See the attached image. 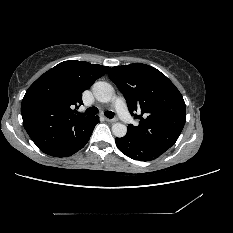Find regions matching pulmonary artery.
I'll return each instance as SVG.
<instances>
[{
  "instance_id": "1",
  "label": "pulmonary artery",
  "mask_w": 233,
  "mask_h": 233,
  "mask_svg": "<svg viewBox=\"0 0 233 233\" xmlns=\"http://www.w3.org/2000/svg\"><path fill=\"white\" fill-rule=\"evenodd\" d=\"M115 107L117 112L125 124H131L133 122V116L127 110L124 100L121 97H117L115 100Z\"/></svg>"
}]
</instances>
